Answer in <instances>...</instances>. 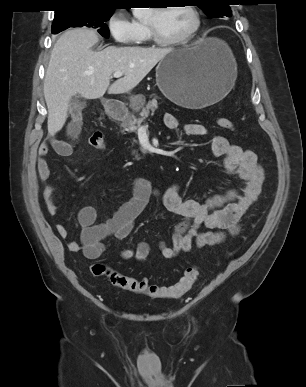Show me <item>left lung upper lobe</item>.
Instances as JSON below:
<instances>
[{"instance_id":"left-lung-upper-lobe-1","label":"left lung upper lobe","mask_w":306,"mask_h":387,"mask_svg":"<svg viewBox=\"0 0 306 387\" xmlns=\"http://www.w3.org/2000/svg\"><path fill=\"white\" fill-rule=\"evenodd\" d=\"M194 3L211 18L230 17L232 12L228 5L229 0H193Z\"/></svg>"}]
</instances>
